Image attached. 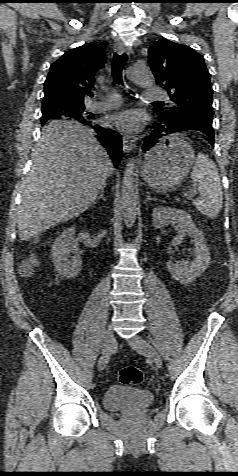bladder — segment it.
Returning <instances> with one entry per match:
<instances>
[{
	"label": "bladder",
	"mask_w": 238,
	"mask_h": 476,
	"mask_svg": "<svg viewBox=\"0 0 238 476\" xmlns=\"http://www.w3.org/2000/svg\"><path fill=\"white\" fill-rule=\"evenodd\" d=\"M102 401L109 411H138L151 406L154 395L145 388L113 385L105 390Z\"/></svg>",
	"instance_id": "obj_1"
}]
</instances>
